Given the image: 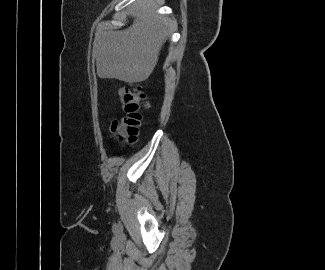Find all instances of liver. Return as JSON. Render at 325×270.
I'll use <instances>...</instances> for the list:
<instances>
[{
    "mask_svg": "<svg viewBox=\"0 0 325 270\" xmlns=\"http://www.w3.org/2000/svg\"><path fill=\"white\" fill-rule=\"evenodd\" d=\"M150 2H138L141 9L133 13L129 28L95 35L93 56L98 77L139 83L153 72L170 25L154 15Z\"/></svg>",
    "mask_w": 325,
    "mask_h": 270,
    "instance_id": "liver-1",
    "label": "liver"
}]
</instances>
